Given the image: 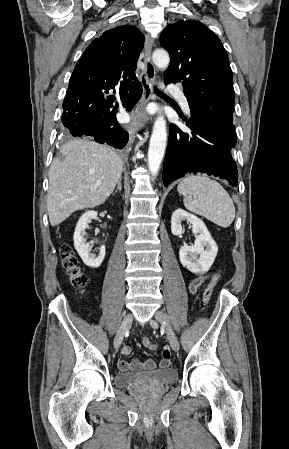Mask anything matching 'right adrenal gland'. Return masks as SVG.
<instances>
[{
  "label": "right adrenal gland",
  "mask_w": 289,
  "mask_h": 449,
  "mask_svg": "<svg viewBox=\"0 0 289 449\" xmlns=\"http://www.w3.org/2000/svg\"><path fill=\"white\" fill-rule=\"evenodd\" d=\"M121 190H122V184H121V179H120L117 183V188L115 189V191L112 194L114 195L115 193H117L118 191H121Z\"/></svg>",
  "instance_id": "obj_1"
}]
</instances>
